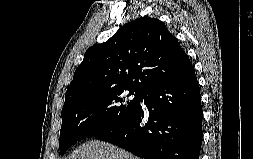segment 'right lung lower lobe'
<instances>
[{"instance_id":"1","label":"right lung lower lobe","mask_w":253,"mask_h":159,"mask_svg":"<svg viewBox=\"0 0 253 159\" xmlns=\"http://www.w3.org/2000/svg\"><path fill=\"white\" fill-rule=\"evenodd\" d=\"M141 105L121 124L96 138L145 159H199L201 96L195 71L142 94Z\"/></svg>"}]
</instances>
